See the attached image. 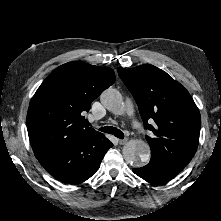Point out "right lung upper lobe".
<instances>
[{
  "instance_id": "cb5924a9",
  "label": "right lung upper lobe",
  "mask_w": 221,
  "mask_h": 221,
  "mask_svg": "<svg viewBox=\"0 0 221 221\" xmlns=\"http://www.w3.org/2000/svg\"><path fill=\"white\" fill-rule=\"evenodd\" d=\"M115 81L111 68L73 61L56 68L31 99L27 130L36 158L76 140L103 135L85 123L91 103Z\"/></svg>"
}]
</instances>
